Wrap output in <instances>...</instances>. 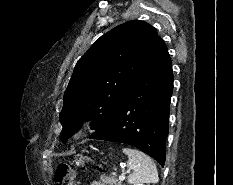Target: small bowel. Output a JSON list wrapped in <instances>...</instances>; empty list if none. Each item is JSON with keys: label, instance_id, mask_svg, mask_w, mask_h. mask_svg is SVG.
<instances>
[{"label": "small bowel", "instance_id": "1", "mask_svg": "<svg viewBox=\"0 0 233 185\" xmlns=\"http://www.w3.org/2000/svg\"><path fill=\"white\" fill-rule=\"evenodd\" d=\"M90 185H105V184H103L102 182H99V181H94Z\"/></svg>", "mask_w": 233, "mask_h": 185}]
</instances>
